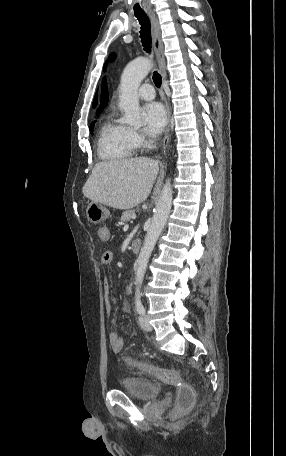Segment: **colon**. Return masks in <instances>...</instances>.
Masks as SVG:
<instances>
[{
	"label": "colon",
	"instance_id": "5ec220e1",
	"mask_svg": "<svg viewBox=\"0 0 286 456\" xmlns=\"http://www.w3.org/2000/svg\"><path fill=\"white\" fill-rule=\"evenodd\" d=\"M126 361L138 367L143 372L177 387L176 403L182 409H189L194 402V391L191 387L183 385L179 373L173 369L160 368L148 363L127 358Z\"/></svg>",
	"mask_w": 286,
	"mask_h": 456
}]
</instances>
